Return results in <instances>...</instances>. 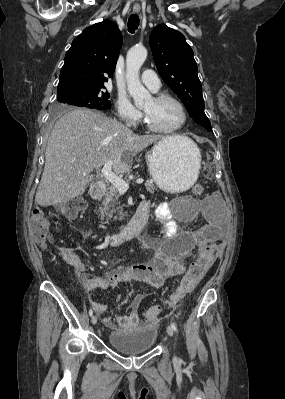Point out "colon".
<instances>
[{
    "mask_svg": "<svg viewBox=\"0 0 285 399\" xmlns=\"http://www.w3.org/2000/svg\"><path fill=\"white\" fill-rule=\"evenodd\" d=\"M202 192L203 189L200 185H195L192 188V194L194 196H200ZM84 207V201L71 200L61 207L55 209L50 214H47L40 209L34 210L31 213L28 221L31 237L37 244L47 246L51 243L49 236V231L51 228L50 219L60 214H66L70 217H75L81 210L84 209ZM213 250L214 246L207 247L204 251L203 257L189 265L186 275L181 280V285L178 289L179 295L186 293L191 286L203 276L210 262ZM141 313L144 316V322H154L158 319L161 313V307L159 305H153L147 309H144Z\"/></svg>",
    "mask_w": 285,
    "mask_h": 399,
    "instance_id": "obj_1",
    "label": "colon"
}]
</instances>
